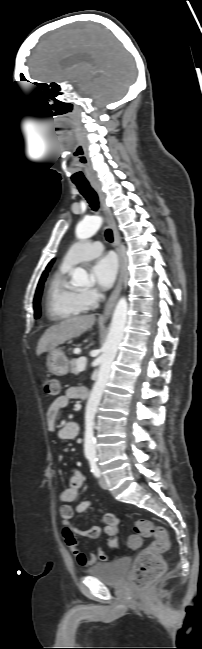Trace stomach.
<instances>
[{
    "instance_id": "1",
    "label": "stomach",
    "mask_w": 202,
    "mask_h": 649,
    "mask_svg": "<svg viewBox=\"0 0 202 649\" xmlns=\"http://www.w3.org/2000/svg\"><path fill=\"white\" fill-rule=\"evenodd\" d=\"M48 370L56 376H64L69 372V361L60 348H54L47 356Z\"/></svg>"
}]
</instances>
